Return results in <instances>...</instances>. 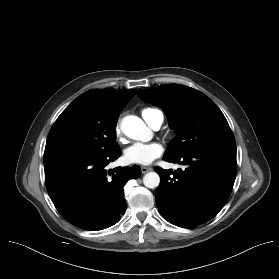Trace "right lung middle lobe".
Masks as SVG:
<instances>
[{"instance_id": "obj_1", "label": "right lung middle lobe", "mask_w": 279, "mask_h": 279, "mask_svg": "<svg viewBox=\"0 0 279 279\" xmlns=\"http://www.w3.org/2000/svg\"><path fill=\"white\" fill-rule=\"evenodd\" d=\"M118 117L119 113L98 111L81 96L77 97L53 124L44 155L74 150L107 154L119 149Z\"/></svg>"}]
</instances>
